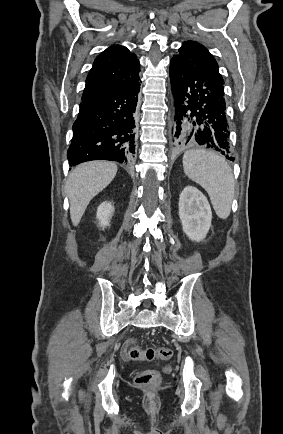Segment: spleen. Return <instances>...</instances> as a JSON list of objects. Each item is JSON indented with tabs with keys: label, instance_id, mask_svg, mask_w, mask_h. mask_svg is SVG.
Listing matches in <instances>:
<instances>
[{
	"label": "spleen",
	"instance_id": "3e777b00",
	"mask_svg": "<svg viewBox=\"0 0 283 434\" xmlns=\"http://www.w3.org/2000/svg\"><path fill=\"white\" fill-rule=\"evenodd\" d=\"M183 168L207 191L218 217L226 219L234 196V177L225 159L209 151L190 150L183 155Z\"/></svg>",
	"mask_w": 283,
	"mask_h": 434
}]
</instances>
